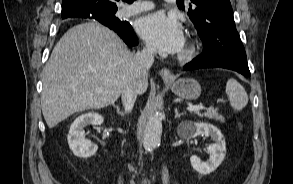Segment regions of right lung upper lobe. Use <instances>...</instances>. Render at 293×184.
<instances>
[{
  "instance_id": "cb5924a9",
  "label": "right lung upper lobe",
  "mask_w": 293,
  "mask_h": 184,
  "mask_svg": "<svg viewBox=\"0 0 293 184\" xmlns=\"http://www.w3.org/2000/svg\"><path fill=\"white\" fill-rule=\"evenodd\" d=\"M82 0H63L62 2V18L68 17H78L83 14L89 13L91 11L85 10L79 6V2ZM100 1L104 4L103 9H96L101 10L105 13H109L115 9H117L116 4L112 0H96ZM118 1V0H117ZM94 11V10H92Z\"/></svg>"
}]
</instances>
